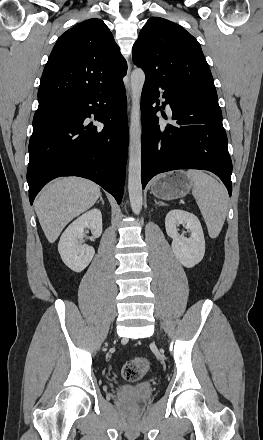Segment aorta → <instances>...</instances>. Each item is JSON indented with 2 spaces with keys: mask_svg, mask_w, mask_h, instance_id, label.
<instances>
[{
  "mask_svg": "<svg viewBox=\"0 0 263 440\" xmlns=\"http://www.w3.org/2000/svg\"><path fill=\"white\" fill-rule=\"evenodd\" d=\"M145 82V73L136 68L131 73L132 108L129 130L128 192L132 211L138 215L142 209L141 183V125L140 98Z\"/></svg>",
  "mask_w": 263,
  "mask_h": 440,
  "instance_id": "1",
  "label": "aorta"
}]
</instances>
